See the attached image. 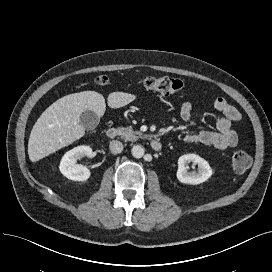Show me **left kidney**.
I'll use <instances>...</instances> for the list:
<instances>
[{
	"label": "left kidney",
	"mask_w": 272,
	"mask_h": 272,
	"mask_svg": "<svg viewBox=\"0 0 272 272\" xmlns=\"http://www.w3.org/2000/svg\"><path fill=\"white\" fill-rule=\"evenodd\" d=\"M193 162L198 165V172H188L187 163ZM212 175L209 163L196 154H185L178 159L177 178L185 184H200L205 182Z\"/></svg>",
	"instance_id": "1"
}]
</instances>
